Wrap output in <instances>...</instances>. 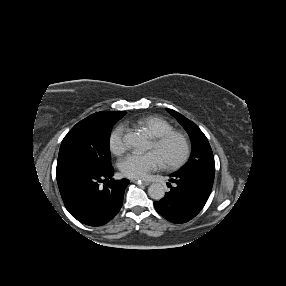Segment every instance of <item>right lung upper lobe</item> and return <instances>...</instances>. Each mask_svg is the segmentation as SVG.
I'll use <instances>...</instances> for the list:
<instances>
[{
    "label": "right lung upper lobe",
    "instance_id": "obj_1",
    "mask_svg": "<svg viewBox=\"0 0 286 286\" xmlns=\"http://www.w3.org/2000/svg\"><path fill=\"white\" fill-rule=\"evenodd\" d=\"M116 112H119V111H113V112H110V111H103V112H97V113H94L92 115H90L89 117L85 118V119H88V118H99V117H103V116H109L113 113H116Z\"/></svg>",
    "mask_w": 286,
    "mask_h": 286
}]
</instances>
